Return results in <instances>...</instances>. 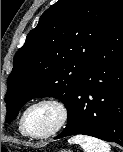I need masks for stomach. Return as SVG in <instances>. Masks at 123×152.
<instances>
[{
    "instance_id": "0dacf381",
    "label": "stomach",
    "mask_w": 123,
    "mask_h": 152,
    "mask_svg": "<svg viewBox=\"0 0 123 152\" xmlns=\"http://www.w3.org/2000/svg\"><path fill=\"white\" fill-rule=\"evenodd\" d=\"M61 152H71L70 150L66 151V150H62Z\"/></svg>"
}]
</instances>
